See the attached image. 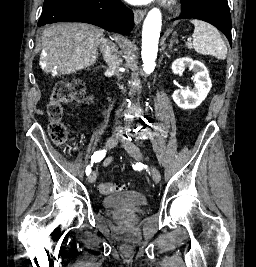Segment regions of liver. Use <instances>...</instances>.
Here are the masks:
<instances>
[{
    "instance_id": "6515ba94",
    "label": "liver",
    "mask_w": 256,
    "mask_h": 267,
    "mask_svg": "<svg viewBox=\"0 0 256 267\" xmlns=\"http://www.w3.org/2000/svg\"><path fill=\"white\" fill-rule=\"evenodd\" d=\"M104 38L103 30L91 24H52L42 34L41 64L46 74L62 76L75 74L93 66L98 48ZM55 70V72H54Z\"/></svg>"
}]
</instances>
